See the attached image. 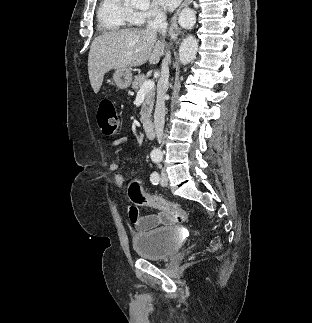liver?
<instances>
[{"instance_id": "liver-1", "label": "liver", "mask_w": 312, "mask_h": 323, "mask_svg": "<svg viewBox=\"0 0 312 323\" xmlns=\"http://www.w3.org/2000/svg\"><path fill=\"white\" fill-rule=\"evenodd\" d=\"M163 54L156 30H118L106 32L93 40L88 56L90 84L98 94L105 74L118 68L158 64Z\"/></svg>"}]
</instances>
